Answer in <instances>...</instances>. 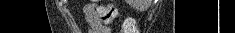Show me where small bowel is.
Masks as SVG:
<instances>
[{
	"mask_svg": "<svg viewBox=\"0 0 235 33\" xmlns=\"http://www.w3.org/2000/svg\"><path fill=\"white\" fill-rule=\"evenodd\" d=\"M83 11L89 33H112L111 28L102 23L97 13V5L95 3L87 4Z\"/></svg>",
	"mask_w": 235,
	"mask_h": 33,
	"instance_id": "small-bowel-1",
	"label": "small bowel"
}]
</instances>
